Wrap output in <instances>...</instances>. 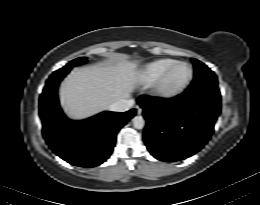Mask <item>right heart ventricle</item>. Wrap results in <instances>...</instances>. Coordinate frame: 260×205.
<instances>
[{"instance_id":"1","label":"right heart ventricle","mask_w":260,"mask_h":205,"mask_svg":"<svg viewBox=\"0 0 260 205\" xmlns=\"http://www.w3.org/2000/svg\"><path fill=\"white\" fill-rule=\"evenodd\" d=\"M175 62L174 59L162 58L146 64L139 74L140 81L145 85H153Z\"/></svg>"}]
</instances>
